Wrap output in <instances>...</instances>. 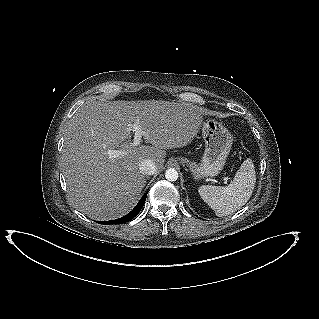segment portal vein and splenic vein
Instances as JSON below:
<instances>
[{
    "instance_id": "18ae733b",
    "label": "portal vein and splenic vein",
    "mask_w": 319,
    "mask_h": 319,
    "mask_svg": "<svg viewBox=\"0 0 319 319\" xmlns=\"http://www.w3.org/2000/svg\"><path fill=\"white\" fill-rule=\"evenodd\" d=\"M133 131L135 132L133 142L130 143L131 147H136L140 144L141 138L144 135V132L141 130V126L139 124V120L137 119L136 122H134L131 125ZM110 156L114 158H120L127 154L125 150H112L109 152ZM228 178H224L225 184L227 183Z\"/></svg>"
}]
</instances>
